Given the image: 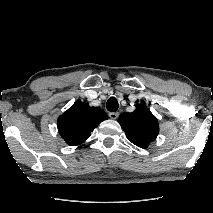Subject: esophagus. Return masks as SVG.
Instances as JSON below:
<instances>
[{"instance_id": "esophagus-1", "label": "esophagus", "mask_w": 213, "mask_h": 213, "mask_svg": "<svg viewBox=\"0 0 213 213\" xmlns=\"http://www.w3.org/2000/svg\"><path fill=\"white\" fill-rule=\"evenodd\" d=\"M119 116V113L118 112H110L109 113V117L113 120L117 119Z\"/></svg>"}]
</instances>
